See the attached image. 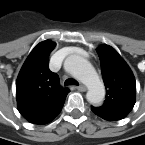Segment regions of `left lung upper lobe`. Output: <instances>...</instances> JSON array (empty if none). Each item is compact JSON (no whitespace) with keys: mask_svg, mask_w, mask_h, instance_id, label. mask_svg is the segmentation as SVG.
I'll return each mask as SVG.
<instances>
[{"mask_svg":"<svg viewBox=\"0 0 145 145\" xmlns=\"http://www.w3.org/2000/svg\"><path fill=\"white\" fill-rule=\"evenodd\" d=\"M102 77L106 88V100L100 107H91L101 118L109 121L125 118L133 109L136 98L134 75L122 57L110 46L97 49Z\"/></svg>","mask_w":145,"mask_h":145,"instance_id":"left-lung-upper-lobe-1","label":"left lung upper lobe"}]
</instances>
